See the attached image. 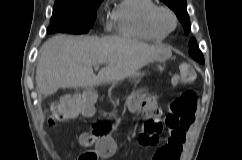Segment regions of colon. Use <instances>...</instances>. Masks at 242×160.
<instances>
[{
	"label": "colon",
	"instance_id": "5ec220e1",
	"mask_svg": "<svg viewBox=\"0 0 242 160\" xmlns=\"http://www.w3.org/2000/svg\"><path fill=\"white\" fill-rule=\"evenodd\" d=\"M196 79V71L190 63H183L174 79L175 83L190 84ZM94 96L90 93L84 95H74L63 97L51 108L48 124L54 126L58 123L75 119L83 112H88L93 108ZM131 99L140 103L146 119L139 141L144 145H154L158 142V133L162 129L159 120L160 109L152 99H147L143 91L136 92ZM196 108V94L192 90L184 91L176 98L171 106V111L166 115V124L169 128H188L194 120V110ZM115 124L112 117L99 119L94 125L92 135H87L86 142L93 143L97 137L108 131ZM181 132L176 130L172 133L174 138L180 139ZM81 160H97L95 152L84 153Z\"/></svg>",
	"mask_w": 242,
	"mask_h": 160
}]
</instances>
